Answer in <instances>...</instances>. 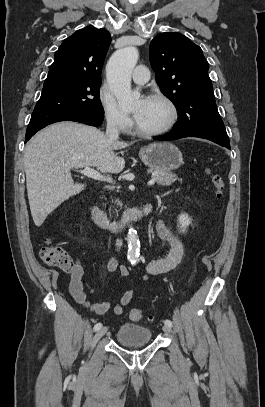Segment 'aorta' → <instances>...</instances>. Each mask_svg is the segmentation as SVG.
<instances>
[{"mask_svg": "<svg viewBox=\"0 0 265 407\" xmlns=\"http://www.w3.org/2000/svg\"><path fill=\"white\" fill-rule=\"evenodd\" d=\"M139 52L136 47L129 46L117 50L106 65V76L112 93L122 108H128L140 98L138 91L131 89V74L138 61ZM127 259L135 265L139 262L140 242L137 232L130 228L127 236Z\"/></svg>", "mask_w": 265, "mask_h": 407, "instance_id": "762f6f07", "label": "aorta"}]
</instances>
